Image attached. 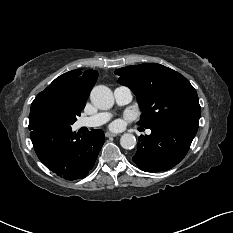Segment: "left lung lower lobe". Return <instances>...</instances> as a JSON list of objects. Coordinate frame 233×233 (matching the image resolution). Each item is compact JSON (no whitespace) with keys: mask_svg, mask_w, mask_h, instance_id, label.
<instances>
[{"mask_svg":"<svg viewBox=\"0 0 233 233\" xmlns=\"http://www.w3.org/2000/svg\"><path fill=\"white\" fill-rule=\"evenodd\" d=\"M141 135L132 160L145 172L166 171L187 154L198 127L189 124H160Z\"/></svg>","mask_w":233,"mask_h":233,"instance_id":"0a47b994","label":"left lung lower lobe"}]
</instances>
